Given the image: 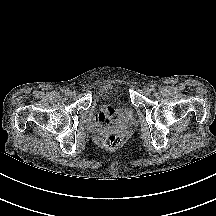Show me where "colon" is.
<instances>
[{
    "instance_id": "1",
    "label": "colon",
    "mask_w": 216,
    "mask_h": 216,
    "mask_svg": "<svg viewBox=\"0 0 216 216\" xmlns=\"http://www.w3.org/2000/svg\"><path fill=\"white\" fill-rule=\"evenodd\" d=\"M123 143V136L119 133L113 132L108 134L104 140L103 144L107 149L114 150L121 146Z\"/></svg>"
}]
</instances>
